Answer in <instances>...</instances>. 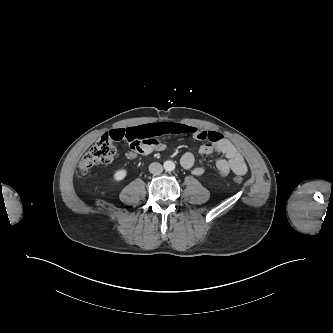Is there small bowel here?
I'll return each mask as SVG.
<instances>
[{
	"instance_id": "small-bowel-1",
	"label": "small bowel",
	"mask_w": 333,
	"mask_h": 333,
	"mask_svg": "<svg viewBox=\"0 0 333 333\" xmlns=\"http://www.w3.org/2000/svg\"><path fill=\"white\" fill-rule=\"evenodd\" d=\"M166 134L190 135L196 139L206 141L200 145L198 152L201 155L219 153L224 158L216 162L217 171L226 176L233 172L242 176L247 173V164L238 149L222 134L208 131L182 123L159 122L139 126L114 129L104 134L103 137L111 141H125L130 149L126 152L129 159L136 158L139 154H148L162 148V144L156 137ZM184 169L190 170L194 175H202L204 168L195 165V157L186 152L180 159Z\"/></svg>"
}]
</instances>
